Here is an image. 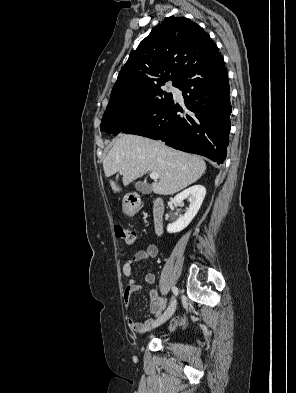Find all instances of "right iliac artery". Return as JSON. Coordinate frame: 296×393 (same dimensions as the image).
I'll return each mask as SVG.
<instances>
[{
    "mask_svg": "<svg viewBox=\"0 0 296 393\" xmlns=\"http://www.w3.org/2000/svg\"><path fill=\"white\" fill-rule=\"evenodd\" d=\"M172 291H173V293H174V295H178V288L177 287H172Z\"/></svg>",
    "mask_w": 296,
    "mask_h": 393,
    "instance_id": "right-iliac-artery-1",
    "label": "right iliac artery"
}]
</instances>
